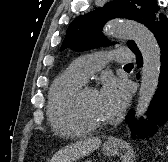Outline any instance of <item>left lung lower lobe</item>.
Masks as SVG:
<instances>
[{
	"instance_id": "left-lung-lower-lobe-1",
	"label": "left lung lower lobe",
	"mask_w": 168,
	"mask_h": 162,
	"mask_svg": "<svg viewBox=\"0 0 168 162\" xmlns=\"http://www.w3.org/2000/svg\"><path fill=\"white\" fill-rule=\"evenodd\" d=\"M149 30L154 34L161 49L159 83L147 111L149 122L143 119L134 121L132 111L129 112L126 118L133 139H136L137 136L141 139H144L146 136H152L157 130V125L164 124L168 117V19L163 15L149 26ZM133 52L136 55L137 66L141 67L143 65V58L140 51L137 48ZM137 78H139V74Z\"/></svg>"
}]
</instances>
